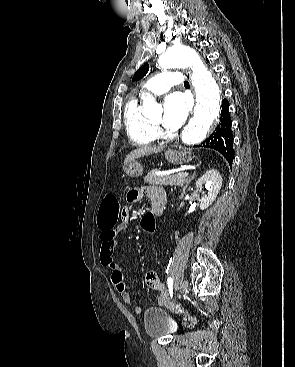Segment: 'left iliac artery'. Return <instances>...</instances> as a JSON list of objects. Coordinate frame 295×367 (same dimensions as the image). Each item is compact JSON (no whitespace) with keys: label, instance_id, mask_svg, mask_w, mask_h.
I'll return each mask as SVG.
<instances>
[{"label":"left iliac artery","instance_id":"left-iliac-artery-1","mask_svg":"<svg viewBox=\"0 0 295 367\" xmlns=\"http://www.w3.org/2000/svg\"><path fill=\"white\" fill-rule=\"evenodd\" d=\"M167 285H168V288H169L170 296L172 297L173 296V279H172V277H169L167 279Z\"/></svg>","mask_w":295,"mask_h":367}]
</instances>
